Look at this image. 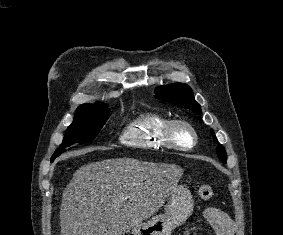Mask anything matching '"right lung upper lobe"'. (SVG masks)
<instances>
[{
  "label": "right lung upper lobe",
  "mask_w": 283,
  "mask_h": 235,
  "mask_svg": "<svg viewBox=\"0 0 283 235\" xmlns=\"http://www.w3.org/2000/svg\"><path fill=\"white\" fill-rule=\"evenodd\" d=\"M80 106H103V104H101V103H96V104H83V105H80Z\"/></svg>",
  "instance_id": "cb5924a9"
}]
</instances>
